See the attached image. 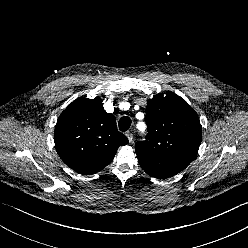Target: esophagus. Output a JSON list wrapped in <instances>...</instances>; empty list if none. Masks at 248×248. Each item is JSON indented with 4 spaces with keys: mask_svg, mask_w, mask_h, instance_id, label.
Wrapping results in <instances>:
<instances>
[{
    "mask_svg": "<svg viewBox=\"0 0 248 248\" xmlns=\"http://www.w3.org/2000/svg\"><path fill=\"white\" fill-rule=\"evenodd\" d=\"M125 135H126V137L128 138L129 142L131 143L132 140H133V135H132V133H131L130 131H127V132L125 133Z\"/></svg>",
    "mask_w": 248,
    "mask_h": 248,
    "instance_id": "34e87169",
    "label": "esophagus"
}]
</instances>
